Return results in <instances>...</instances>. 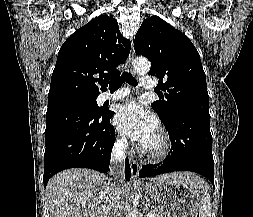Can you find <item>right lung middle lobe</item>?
<instances>
[{"mask_svg":"<svg viewBox=\"0 0 253 217\" xmlns=\"http://www.w3.org/2000/svg\"><path fill=\"white\" fill-rule=\"evenodd\" d=\"M97 97H73L48 102L46 117L68 110H84L92 113L103 112L97 105Z\"/></svg>","mask_w":253,"mask_h":217,"instance_id":"right-lung-middle-lobe-1","label":"right lung middle lobe"}]
</instances>
